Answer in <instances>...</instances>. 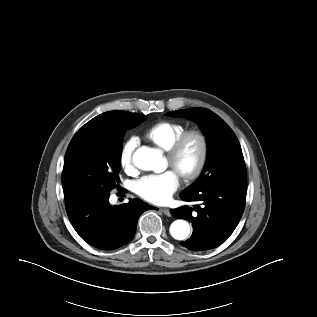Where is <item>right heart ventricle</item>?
Here are the masks:
<instances>
[{
	"label": "right heart ventricle",
	"mask_w": 317,
	"mask_h": 317,
	"mask_svg": "<svg viewBox=\"0 0 317 317\" xmlns=\"http://www.w3.org/2000/svg\"><path fill=\"white\" fill-rule=\"evenodd\" d=\"M186 131L183 124L162 121L154 124L145 131V137L156 146L168 151L174 142Z\"/></svg>",
	"instance_id": "obj_1"
}]
</instances>
